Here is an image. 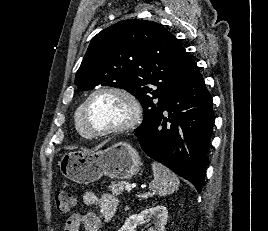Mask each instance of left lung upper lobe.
<instances>
[{
  "label": "left lung upper lobe",
  "instance_id": "left-lung-upper-lobe-1",
  "mask_svg": "<svg viewBox=\"0 0 268 231\" xmlns=\"http://www.w3.org/2000/svg\"><path fill=\"white\" fill-rule=\"evenodd\" d=\"M196 62L175 36L153 21H120L95 35L76 74L79 90L98 85L122 88L144 109L135 132L147 131L162 112L172 88Z\"/></svg>",
  "mask_w": 268,
  "mask_h": 231
}]
</instances>
